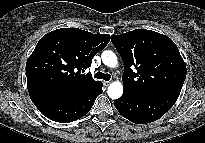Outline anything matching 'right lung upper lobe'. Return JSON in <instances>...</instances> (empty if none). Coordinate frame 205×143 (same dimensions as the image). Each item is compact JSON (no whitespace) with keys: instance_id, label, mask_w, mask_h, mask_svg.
Segmentation results:
<instances>
[{"instance_id":"cb5924a9","label":"right lung upper lobe","mask_w":205,"mask_h":143,"mask_svg":"<svg viewBox=\"0 0 205 143\" xmlns=\"http://www.w3.org/2000/svg\"><path fill=\"white\" fill-rule=\"evenodd\" d=\"M110 41V35L61 28L44 35L26 63L30 95L70 96L98 81L81 74Z\"/></svg>"}]
</instances>
